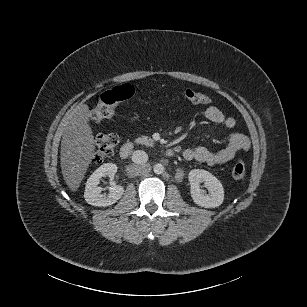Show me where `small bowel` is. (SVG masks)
<instances>
[{
    "mask_svg": "<svg viewBox=\"0 0 307 307\" xmlns=\"http://www.w3.org/2000/svg\"><path fill=\"white\" fill-rule=\"evenodd\" d=\"M205 117L212 123L223 125L228 129L236 127V120L225 114L216 106L205 109ZM250 148L248 137L241 133H232L225 147L218 151H211L204 146L188 148L183 151V157L187 160H195L210 166L226 163L234 158L237 152L247 151Z\"/></svg>",
    "mask_w": 307,
    "mask_h": 307,
    "instance_id": "c3829d8e",
    "label": "small bowel"
}]
</instances>
